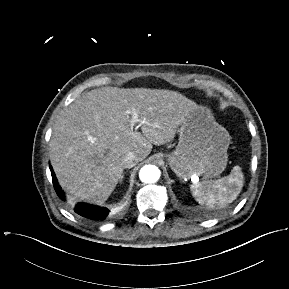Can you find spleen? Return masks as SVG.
Returning <instances> with one entry per match:
<instances>
[{
  "label": "spleen",
  "instance_id": "1",
  "mask_svg": "<svg viewBox=\"0 0 289 289\" xmlns=\"http://www.w3.org/2000/svg\"><path fill=\"white\" fill-rule=\"evenodd\" d=\"M244 175L240 166H234L228 176L218 180H204L191 186L192 195L201 205L224 208L240 194Z\"/></svg>",
  "mask_w": 289,
  "mask_h": 289
}]
</instances>
